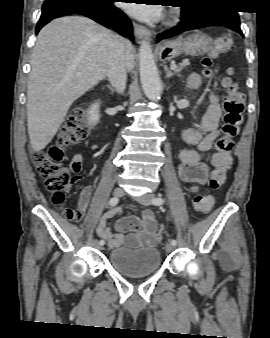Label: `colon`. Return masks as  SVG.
Wrapping results in <instances>:
<instances>
[{
  "label": "colon",
  "mask_w": 270,
  "mask_h": 338,
  "mask_svg": "<svg viewBox=\"0 0 270 338\" xmlns=\"http://www.w3.org/2000/svg\"><path fill=\"white\" fill-rule=\"evenodd\" d=\"M234 48V38L230 34H223L213 40L211 56L203 58L204 74L208 78L214 77V58ZM233 69H230L221 80L220 88L223 91V125L222 134L215 141V151L212 154L213 167L209 188L217 190L223 186L226 175L232 166V150L235 139L239 134L244 120L243 95L238 89L237 83L232 79ZM87 136L86 113L83 109H76L72 116L68 117L61 126L53 143L44 150L31 154V160L44 180L46 190L51 193V201L55 204L68 220L76 221L79 211L64 206V197L72 186L78 181L74 165L64 166V152ZM214 200L209 191L194 197L193 207L195 211L209 214ZM127 229H136L140 224L134 221L124 223Z\"/></svg>",
  "instance_id": "obj_1"
}]
</instances>
